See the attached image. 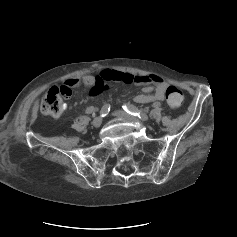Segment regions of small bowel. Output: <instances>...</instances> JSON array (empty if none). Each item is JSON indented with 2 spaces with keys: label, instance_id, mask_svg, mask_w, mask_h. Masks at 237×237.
<instances>
[{
  "label": "small bowel",
  "instance_id": "obj_1",
  "mask_svg": "<svg viewBox=\"0 0 237 237\" xmlns=\"http://www.w3.org/2000/svg\"><path fill=\"white\" fill-rule=\"evenodd\" d=\"M112 81L144 85L143 93L135 97V101L142 104L163 101L168 87V84L156 75H135L109 69L103 70L98 75H85L79 78L70 79L65 82V85L70 88H77L79 86L90 87L91 96L96 97L108 90L109 83ZM88 111L92 112L93 108L89 107Z\"/></svg>",
  "mask_w": 237,
  "mask_h": 237
}]
</instances>
